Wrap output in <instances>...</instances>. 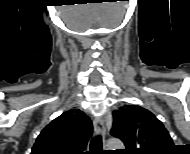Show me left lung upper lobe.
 <instances>
[{
    "label": "left lung upper lobe",
    "mask_w": 190,
    "mask_h": 154,
    "mask_svg": "<svg viewBox=\"0 0 190 154\" xmlns=\"http://www.w3.org/2000/svg\"><path fill=\"white\" fill-rule=\"evenodd\" d=\"M110 134L123 141L126 154H157L173 147L162 122L138 105L124 106L113 112Z\"/></svg>",
    "instance_id": "5c2ea615"
}]
</instances>
